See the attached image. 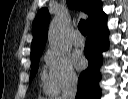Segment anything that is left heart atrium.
Wrapping results in <instances>:
<instances>
[{
  "label": "left heart atrium",
  "mask_w": 128,
  "mask_h": 99,
  "mask_svg": "<svg viewBox=\"0 0 128 99\" xmlns=\"http://www.w3.org/2000/svg\"><path fill=\"white\" fill-rule=\"evenodd\" d=\"M74 61L78 69H83L86 65V59L81 54L75 55Z\"/></svg>",
  "instance_id": "left-heart-atrium-1"
}]
</instances>
